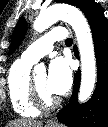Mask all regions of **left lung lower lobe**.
<instances>
[{
  "label": "left lung lower lobe",
  "instance_id": "left-lung-lower-lobe-1",
  "mask_svg": "<svg viewBox=\"0 0 108 127\" xmlns=\"http://www.w3.org/2000/svg\"><path fill=\"white\" fill-rule=\"evenodd\" d=\"M79 8L85 14L92 31L97 61V83L89 101L80 105L77 94L80 71L74 75V88L69 103L57 114V119L69 127H108V20L104 10L94 0H84ZM78 57L77 51H75Z\"/></svg>",
  "mask_w": 108,
  "mask_h": 127
}]
</instances>
